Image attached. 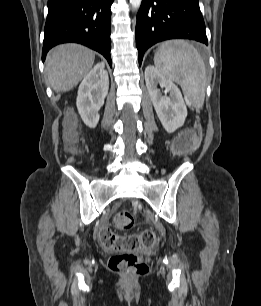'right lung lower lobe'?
<instances>
[{
    "label": "right lung lower lobe",
    "mask_w": 261,
    "mask_h": 306,
    "mask_svg": "<svg viewBox=\"0 0 261 306\" xmlns=\"http://www.w3.org/2000/svg\"><path fill=\"white\" fill-rule=\"evenodd\" d=\"M114 0H48L42 60L53 46L76 42L110 57L111 10Z\"/></svg>",
    "instance_id": "obj_1"
}]
</instances>
